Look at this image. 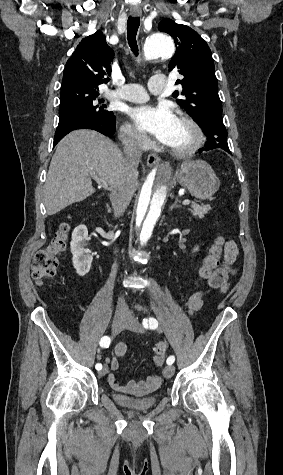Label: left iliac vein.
<instances>
[{"label": "left iliac vein", "instance_id": "4c4485c4", "mask_svg": "<svg viewBox=\"0 0 283 475\" xmlns=\"http://www.w3.org/2000/svg\"><path fill=\"white\" fill-rule=\"evenodd\" d=\"M125 329H130L138 333H145V329L139 321L134 318L130 313L127 314V323L124 326ZM175 368L173 365L166 366L163 370V376L166 379L171 378L174 375Z\"/></svg>", "mask_w": 283, "mask_h": 475}]
</instances>
